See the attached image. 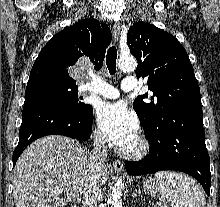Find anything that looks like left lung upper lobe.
I'll list each match as a JSON object with an SVG mask.
<instances>
[{
    "instance_id": "5c2ea615",
    "label": "left lung upper lobe",
    "mask_w": 220,
    "mask_h": 207,
    "mask_svg": "<svg viewBox=\"0 0 220 207\" xmlns=\"http://www.w3.org/2000/svg\"><path fill=\"white\" fill-rule=\"evenodd\" d=\"M130 53L138 62L137 78H148L147 93L138 96L134 109L148 133L163 117L182 106L200 104V89L186 50L171 34L145 23L135 22L127 33ZM143 99H148L144 102Z\"/></svg>"
}]
</instances>
